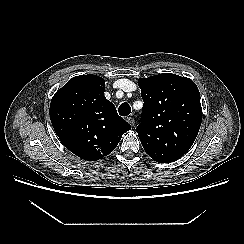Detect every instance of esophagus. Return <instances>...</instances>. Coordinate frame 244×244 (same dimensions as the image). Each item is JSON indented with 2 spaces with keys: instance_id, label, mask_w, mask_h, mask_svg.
<instances>
[{
  "instance_id": "1",
  "label": "esophagus",
  "mask_w": 244,
  "mask_h": 244,
  "mask_svg": "<svg viewBox=\"0 0 244 244\" xmlns=\"http://www.w3.org/2000/svg\"><path fill=\"white\" fill-rule=\"evenodd\" d=\"M127 122H128L131 126H134V124H135V120H134V118H132V117H128V118H127Z\"/></svg>"
}]
</instances>
